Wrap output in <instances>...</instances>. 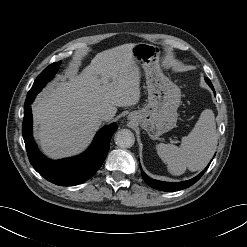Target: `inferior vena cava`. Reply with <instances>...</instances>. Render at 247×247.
<instances>
[{
    "label": "inferior vena cava",
    "instance_id": "1",
    "mask_svg": "<svg viewBox=\"0 0 247 247\" xmlns=\"http://www.w3.org/2000/svg\"><path fill=\"white\" fill-rule=\"evenodd\" d=\"M99 118L102 121H108L112 118V115L109 112L104 111L99 114Z\"/></svg>",
    "mask_w": 247,
    "mask_h": 247
}]
</instances>
